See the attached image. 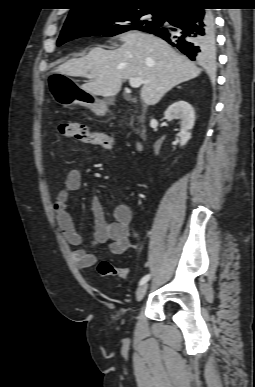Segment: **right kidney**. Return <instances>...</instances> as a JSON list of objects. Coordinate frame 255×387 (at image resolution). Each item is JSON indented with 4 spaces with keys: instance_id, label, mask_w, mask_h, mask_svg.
<instances>
[{
    "instance_id": "1",
    "label": "right kidney",
    "mask_w": 255,
    "mask_h": 387,
    "mask_svg": "<svg viewBox=\"0 0 255 387\" xmlns=\"http://www.w3.org/2000/svg\"><path fill=\"white\" fill-rule=\"evenodd\" d=\"M165 119L180 120V145H185L191 138V129L194 126L195 112L193 107L186 101H177L170 105L164 113Z\"/></svg>"
}]
</instances>
